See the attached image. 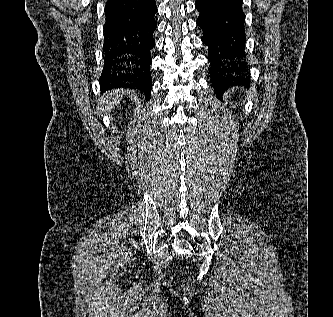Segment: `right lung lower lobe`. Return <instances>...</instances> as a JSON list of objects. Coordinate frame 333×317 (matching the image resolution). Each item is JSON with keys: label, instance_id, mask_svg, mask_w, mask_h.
Segmentation results:
<instances>
[{"label": "right lung lower lobe", "instance_id": "obj_1", "mask_svg": "<svg viewBox=\"0 0 333 317\" xmlns=\"http://www.w3.org/2000/svg\"><path fill=\"white\" fill-rule=\"evenodd\" d=\"M155 0H108L105 6L104 69L99 79L102 92L128 87L138 89L149 98L152 89L150 50L155 45L153 32L157 28L154 16ZM135 58L123 60L121 55ZM135 64L137 69L129 74L118 71L123 63Z\"/></svg>", "mask_w": 333, "mask_h": 317}]
</instances>
